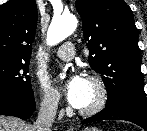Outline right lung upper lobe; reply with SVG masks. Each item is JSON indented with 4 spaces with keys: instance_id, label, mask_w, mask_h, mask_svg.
<instances>
[{
    "instance_id": "1",
    "label": "right lung upper lobe",
    "mask_w": 147,
    "mask_h": 131,
    "mask_svg": "<svg viewBox=\"0 0 147 131\" xmlns=\"http://www.w3.org/2000/svg\"><path fill=\"white\" fill-rule=\"evenodd\" d=\"M37 27L35 0H10L0 6V58L30 60Z\"/></svg>"
}]
</instances>
